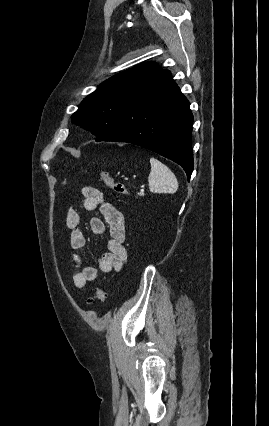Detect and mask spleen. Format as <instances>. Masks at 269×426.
Wrapping results in <instances>:
<instances>
[{
  "label": "spleen",
  "instance_id": "obj_1",
  "mask_svg": "<svg viewBox=\"0 0 269 426\" xmlns=\"http://www.w3.org/2000/svg\"><path fill=\"white\" fill-rule=\"evenodd\" d=\"M151 171L148 177L149 189L153 193L173 194L178 189L174 173L154 157L150 158Z\"/></svg>",
  "mask_w": 269,
  "mask_h": 426
}]
</instances>
